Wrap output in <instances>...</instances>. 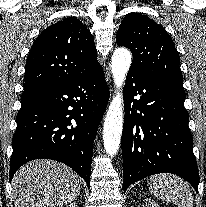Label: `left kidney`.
I'll use <instances>...</instances> for the list:
<instances>
[{"label":"left kidney","instance_id":"5707ae66","mask_svg":"<svg viewBox=\"0 0 206 207\" xmlns=\"http://www.w3.org/2000/svg\"><path fill=\"white\" fill-rule=\"evenodd\" d=\"M142 207H159V206L152 198H147L145 199Z\"/></svg>","mask_w":206,"mask_h":207}]
</instances>
